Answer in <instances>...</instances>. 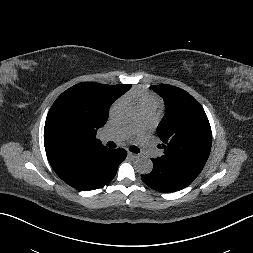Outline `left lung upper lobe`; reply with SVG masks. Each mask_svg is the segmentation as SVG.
I'll return each mask as SVG.
<instances>
[{
  "label": "left lung upper lobe",
  "mask_w": 253,
  "mask_h": 253,
  "mask_svg": "<svg viewBox=\"0 0 253 253\" xmlns=\"http://www.w3.org/2000/svg\"><path fill=\"white\" fill-rule=\"evenodd\" d=\"M151 88L165 101V115L157 128L166 163L199 174L211 150L212 132L203 107L185 90L170 85Z\"/></svg>",
  "instance_id": "1"
}]
</instances>
